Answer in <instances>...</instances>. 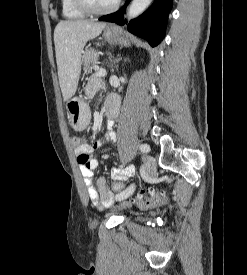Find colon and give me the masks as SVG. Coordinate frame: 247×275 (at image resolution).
<instances>
[{
  "mask_svg": "<svg viewBox=\"0 0 247 275\" xmlns=\"http://www.w3.org/2000/svg\"><path fill=\"white\" fill-rule=\"evenodd\" d=\"M71 142L76 149H79L84 145L83 139L80 136H73ZM110 188L116 195L124 193L127 190L120 182L113 183ZM168 200L169 197L166 190L159 191L155 189H148L140 191L135 197L134 202L139 207L148 209L154 206L163 205Z\"/></svg>",
  "mask_w": 247,
  "mask_h": 275,
  "instance_id": "obj_1",
  "label": "colon"
}]
</instances>
